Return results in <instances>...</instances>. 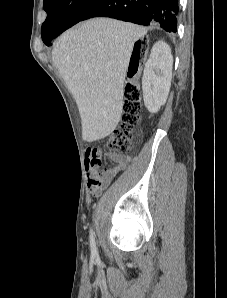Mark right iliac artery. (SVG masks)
I'll return each mask as SVG.
<instances>
[{
    "mask_svg": "<svg viewBox=\"0 0 227 298\" xmlns=\"http://www.w3.org/2000/svg\"><path fill=\"white\" fill-rule=\"evenodd\" d=\"M90 247H91V252L93 255H96L97 249H96V243H95V237L94 233L92 230H90Z\"/></svg>",
    "mask_w": 227,
    "mask_h": 298,
    "instance_id": "1",
    "label": "right iliac artery"
}]
</instances>
